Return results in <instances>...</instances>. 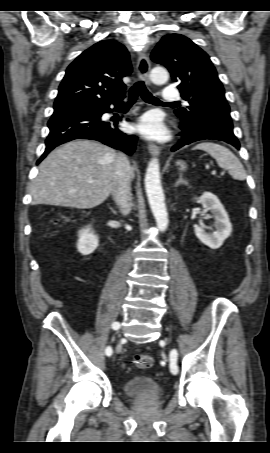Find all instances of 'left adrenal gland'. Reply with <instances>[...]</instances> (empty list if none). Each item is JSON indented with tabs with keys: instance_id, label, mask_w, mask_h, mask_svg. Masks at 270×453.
Wrapping results in <instances>:
<instances>
[{
	"instance_id": "1",
	"label": "left adrenal gland",
	"mask_w": 270,
	"mask_h": 453,
	"mask_svg": "<svg viewBox=\"0 0 270 453\" xmlns=\"http://www.w3.org/2000/svg\"><path fill=\"white\" fill-rule=\"evenodd\" d=\"M179 184H184V185L188 184V182L182 178V174L181 173L179 174V178H178L175 186L177 187V186H179Z\"/></svg>"
}]
</instances>
